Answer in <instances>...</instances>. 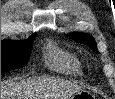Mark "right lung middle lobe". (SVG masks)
Here are the masks:
<instances>
[{
	"mask_svg": "<svg viewBox=\"0 0 115 99\" xmlns=\"http://www.w3.org/2000/svg\"><path fill=\"white\" fill-rule=\"evenodd\" d=\"M35 34L28 40L1 42V73L25 66L28 62Z\"/></svg>",
	"mask_w": 115,
	"mask_h": 99,
	"instance_id": "right-lung-middle-lobe-1",
	"label": "right lung middle lobe"
}]
</instances>
